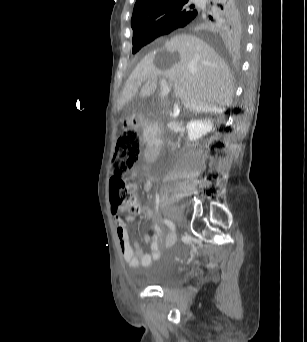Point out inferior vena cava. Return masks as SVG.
I'll use <instances>...</instances> for the list:
<instances>
[{
    "instance_id": "1",
    "label": "inferior vena cava",
    "mask_w": 307,
    "mask_h": 342,
    "mask_svg": "<svg viewBox=\"0 0 307 342\" xmlns=\"http://www.w3.org/2000/svg\"><path fill=\"white\" fill-rule=\"evenodd\" d=\"M172 126H174V122H169L168 128H172Z\"/></svg>"
}]
</instances>
